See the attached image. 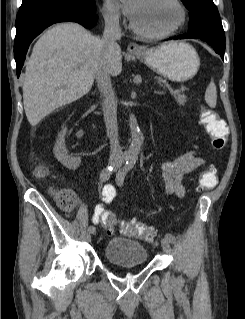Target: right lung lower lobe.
Wrapping results in <instances>:
<instances>
[{
    "instance_id": "right-lung-lower-lobe-1",
    "label": "right lung lower lobe",
    "mask_w": 245,
    "mask_h": 319,
    "mask_svg": "<svg viewBox=\"0 0 245 319\" xmlns=\"http://www.w3.org/2000/svg\"><path fill=\"white\" fill-rule=\"evenodd\" d=\"M95 3L91 7L76 8L68 5H50L27 11H19L16 17L14 57L19 77L28 47L46 27L61 21H75L86 28L97 23Z\"/></svg>"
}]
</instances>
